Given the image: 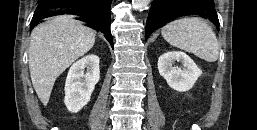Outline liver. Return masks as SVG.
Masks as SVG:
<instances>
[{
    "label": "liver",
    "mask_w": 257,
    "mask_h": 130,
    "mask_svg": "<svg viewBox=\"0 0 257 130\" xmlns=\"http://www.w3.org/2000/svg\"><path fill=\"white\" fill-rule=\"evenodd\" d=\"M95 43V33L73 16L52 18L33 29L29 70L33 87L44 106L56 79Z\"/></svg>",
    "instance_id": "obj_1"
}]
</instances>
